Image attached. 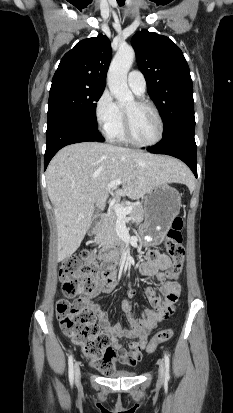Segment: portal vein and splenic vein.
<instances>
[{
  "mask_svg": "<svg viewBox=\"0 0 233 413\" xmlns=\"http://www.w3.org/2000/svg\"><path fill=\"white\" fill-rule=\"evenodd\" d=\"M122 181L121 180H114L112 182H110L107 187H106V191L111 190L113 188H116L117 186L121 185ZM113 211H115L116 215L118 218L120 219H124L127 220L126 215L129 214L132 211V206H127V207H123L121 206V204H115L112 206Z\"/></svg>",
  "mask_w": 233,
  "mask_h": 413,
  "instance_id": "18ae733b",
  "label": "portal vein and splenic vein"
}]
</instances>
